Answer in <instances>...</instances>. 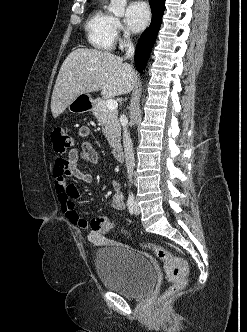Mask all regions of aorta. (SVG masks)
I'll return each mask as SVG.
<instances>
[{
  "label": "aorta",
  "mask_w": 247,
  "mask_h": 332,
  "mask_svg": "<svg viewBox=\"0 0 247 332\" xmlns=\"http://www.w3.org/2000/svg\"><path fill=\"white\" fill-rule=\"evenodd\" d=\"M127 0H111L108 10L115 16L122 17L125 13Z\"/></svg>",
  "instance_id": "aorta-1"
}]
</instances>
